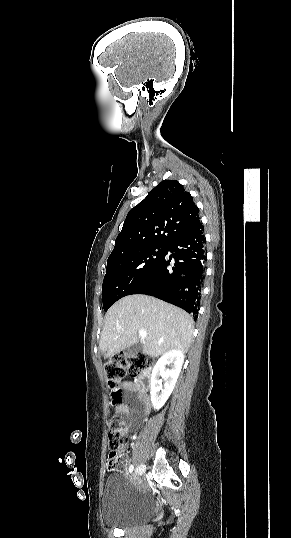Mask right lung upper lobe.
<instances>
[{
	"mask_svg": "<svg viewBox=\"0 0 291 538\" xmlns=\"http://www.w3.org/2000/svg\"><path fill=\"white\" fill-rule=\"evenodd\" d=\"M199 224V209L190 193L176 180H163L129 211L109 258L146 246L168 245Z\"/></svg>",
	"mask_w": 291,
	"mask_h": 538,
	"instance_id": "cb5924a9",
	"label": "right lung upper lobe"
}]
</instances>
